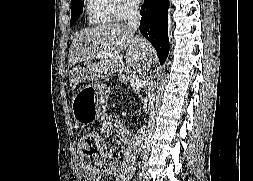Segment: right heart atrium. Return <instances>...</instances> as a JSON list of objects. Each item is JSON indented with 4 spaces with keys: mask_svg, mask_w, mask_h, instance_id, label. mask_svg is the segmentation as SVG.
I'll return each mask as SVG.
<instances>
[{
    "mask_svg": "<svg viewBox=\"0 0 253 181\" xmlns=\"http://www.w3.org/2000/svg\"><path fill=\"white\" fill-rule=\"evenodd\" d=\"M113 17L122 20L137 12L135 0H110Z\"/></svg>",
    "mask_w": 253,
    "mask_h": 181,
    "instance_id": "1",
    "label": "right heart atrium"
}]
</instances>
